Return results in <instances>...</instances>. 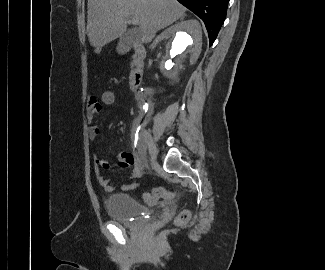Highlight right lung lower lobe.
<instances>
[{
  "label": "right lung lower lobe",
  "instance_id": "1",
  "mask_svg": "<svg viewBox=\"0 0 325 270\" xmlns=\"http://www.w3.org/2000/svg\"><path fill=\"white\" fill-rule=\"evenodd\" d=\"M200 17L208 31L210 46L226 18L229 0H177Z\"/></svg>",
  "mask_w": 325,
  "mask_h": 270
}]
</instances>
